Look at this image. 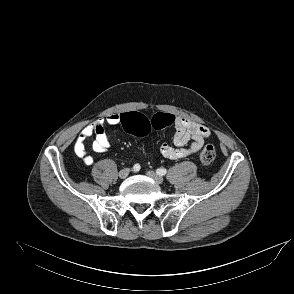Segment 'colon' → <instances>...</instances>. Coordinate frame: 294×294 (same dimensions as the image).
<instances>
[{
    "label": "colon",
    "mask_w": 294,
    "mask_h": 294,
    "mask_svg": "<svg viewBox=\"0 0 294 294\" xmlns=\"http://www.w3.org/2000/svg\"><path fill=\"white\" fill-rule=\"evenodd\" d=\"M121 124L126 132L142 137L147 135L152 129L163 130L175 124V117L168 113H158L151 120L138 112L122 114ZM216 157L213 145L206 144L199 153V160L202 164H211Z\"/></svg>",
    "instance_id": "obj_1"
}]
</instances>
